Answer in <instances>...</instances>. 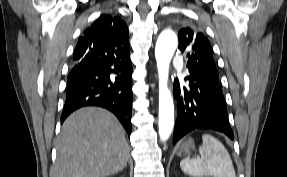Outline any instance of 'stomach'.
Masks as SVG:
<instances>
[{"label": "stomach", "instance_id": "0dacf381", "mask_svg": "<svg viewBox=\"0 0 287 177\" xmlns=\"http://www.w3.org/2000/svg\"><path fill=\"white\" fill-rule=\"evenodd\" d=\"M194 148V141L192 138H186L178 150V155H186Z\"/></svg>", "mask_w": 287, "mask_h": 177}]
</instances>
